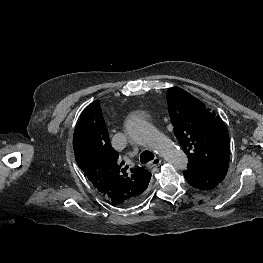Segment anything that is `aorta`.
<instances>
[{
	"instance_id": "762f6f07",
	"label": "aorta",
	"mask_w": 263,
	"mask_h": 263,
	"mask_svg": "<svg viewBox=\"0 0 263 263\" xmlns=\"http://www.w3.org/2000/svg\"><path fill=\"white\" fill-rule=\"evenodd\" d=\"M125 128L132 140L150 148L175 168L185 169L187 167L186 154L144 119L131 116L127 119Z\"/></svg>"
}]
</instances>
